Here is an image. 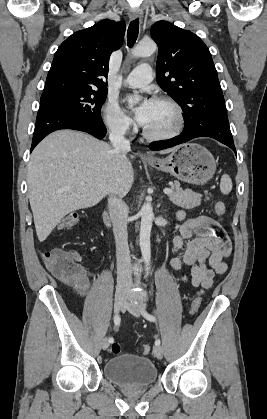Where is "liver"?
<instances>
[{
	"label": "liver",
	"mask_w": 267,
	"mask_h": 419,
	"mask_svg": "<svg viewBox=\"0 0 267 419\" xmlns=\"http://www.w3.org/2000/svg\"><path fill=\"white\" fill-rule=\"evenodd\" d=\"M127 152L73 130L55 131L36 146L28 164L27 182L40 242L67 214L95 206L114 187L121 189V196L129 191L134 171Z\"/></svg>",
	"instance_id": "obj_1"
}]
</instances>
